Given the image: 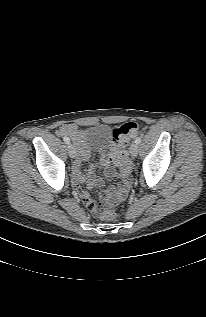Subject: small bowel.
I'll list each match as a JSON object with an SVG mask.
<instances>
[{
  "label": "small bowel",
  "mask_w": 206,
  "mask_h": 317,
  "mask_svg": "<svg viewBox=\"0 0 206 317\" xmlns=\"http://www.w3.org/2000/svg\"><path fill=\"white\" fill-rule=\"evenodd\" d=\"M59 134L66 135V137L69 136L77 144V147H78L77 158H76L74 165H73L74 184H75V188L77 190V193L79 194L83 203L89 209H92L95 201L91 198L90 194L85 189L82 188V185L84 184L88 188H91L95 185L100 186V185H102V180L95 175V173H94L95 165L94 164L87 165L86 175H84L81 171L83 161L87 160L90 156L89 151L86 149V147L83 143L82 133L76 125L66 124V125H63L59 129ZM101 165L104 167L105 173L107 175L113 176L115 174V171H114L109 159L103 157L101 159ZM127 177H124L125 179L122 181V183L120 184V186L116 192H113V190L110 189L105 193V195L107 197L114 195L117 200L124 199V197L126 196V193L128 191L129 185H130V181Z\"/></svg>",
  "instance_id": "small-bowel-1"
}]
</instances>
